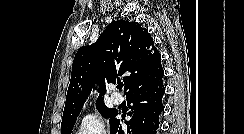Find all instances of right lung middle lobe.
I'll use <instances>...</instances> for the list:
<instances>
[{"label":"right lung middle lobe","instance_id":"dd1d6c3e","mask_svg":"<svg viewBox=\"0 0 244 134\" xmlns=\"http://www.w3.org/2000/svg\"><path fill=\"white\" fill-rule=\"evenodd\" d=\"M96 108L103 116L110 118L109 123H111V121L118 114L116 109L107 108L104 103L96 105ZM77 117L78 115L62 119L61 134L71 133Z\"/></svg>","mask_w":244,"mask_h":134}]
</instances>
